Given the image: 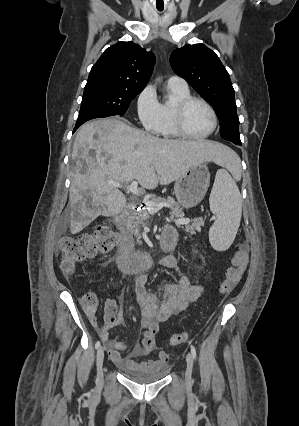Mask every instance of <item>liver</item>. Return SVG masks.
<instances>
[{
    "label": "liver",
    "instance_id": "liver-1",
    "mask_svg": "<svg viewBox=\"0 0 299 426\" xmlns=\"http://www.w3.org/2000/svg\"><path fill=\"white\" fill-rule=\"evenodd\" d=\"M234 157L214 141L160 139L115 118L88 122L79 129L71 155L70 231L76 234L98 216L121 213L126 198L111 181L137 180L152 190L203 162L224 165Z\"/></svg>",
    "mask_w": 299,
    "mask_h": 426
}]
</instances>
